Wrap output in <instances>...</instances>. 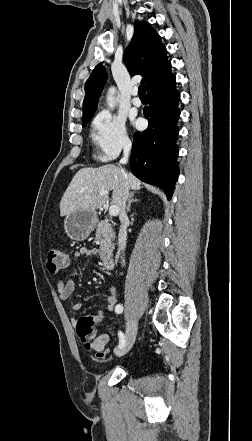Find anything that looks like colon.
<instances>
[{"instance_id": "1", "label": "colon", "mask_w": 252, "mask_h": 441, "mask_svg": "<svg viewBox=\"0 0 252 441\" xmlns=\"http://www.w3.org/2000/svg\"><path fill=\"white\" fill-rule=\"evenodd\" d=\"M69 264L67 254L59 248H51L47 253V270L50 273H57L61 269H64ZM106 317V312L93 313L85 317H81L77 320L75 327L78 335L86 342L89 335L94 331L96 324ZM88 349L91 348L90 343L86 344ZM97 358L102 359L106 357L107 351L95 352Z\"/></svg>"}]
</instances>
